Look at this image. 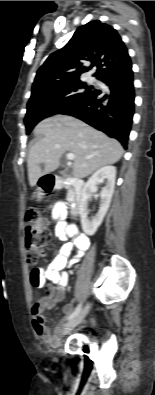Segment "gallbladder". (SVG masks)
I'll use <instances>...</instances> for the list:
<instances>
[{
	"label": "gallbladder",
	"mask_w": 155,
	"mask_h": 395,
	"mask_svg": "<svg viewBox=\"0 0 155 395\" xmlns=\"http://www.w3.org/2000/svg\"><path fill=\"white\" fill-rule=\"evenodd\" d=\"M59 173H60L62 176H70V175H71V170H70V169L61 170Z\"/></svg>",
	"instance_id": "obj_1"
}]
</instances>
